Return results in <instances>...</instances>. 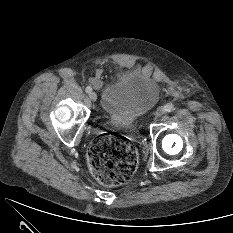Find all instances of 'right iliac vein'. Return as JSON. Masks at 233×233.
<instances>
[{"label":"right iliac vein","mask_w":233,"mask_h":233,"mask_svg":"<svg viewBox=\"0 0 233 233\" xmlns=\"http://www.w3.org/2000/svg\"><path fill=\"white\" fill-rule=\"evenodd\" d=\"M89 98H90L91 101H96L97 94L95 92H90L89 93Z\"/></svg>","instance_id":"right-iliac-vein-1"}]
</instances>
